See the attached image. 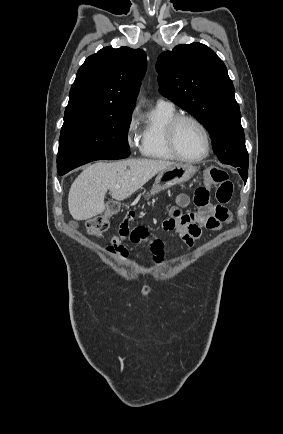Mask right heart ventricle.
<instances>
[{"mask_svg": "<svg viewBox=\"0 0 283 434\" xmlns=\"http://www.w3.org/2000/svg\"><path fill=\"white\" fill-rule=\"evenodd\" d=\"M176 115L174 107L156 106L150 112L141 132L140 152L144 157L160 161L176 159L165 137L166 126Z\"/></svg>", "mask_w": 283, "mask_h": 434, "instance_id": "right-heart-ventricle-1", "label": "right heart ventricle"}]
</instances>
